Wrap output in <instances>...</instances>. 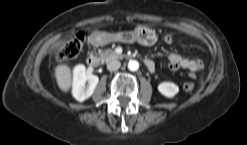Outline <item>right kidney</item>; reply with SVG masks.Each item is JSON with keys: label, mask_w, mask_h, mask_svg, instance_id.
<instances>
[{"label": "right kidney", "mask_w": 247, "mask_h": 145, "mask_svg": "<svg viewBox=\"0 0 247 145\" xmlns=\"http://www.w3.org/2000/svg\"><path fill=\"white\" fill-rule=\"evenodd\" d=\"M98 82L99 78L97 76L86 73L84 65H77L73 70L72 94L74 98L79 102L90 98Z\"/></svg>", "instance_id": "1"}]
</instances>
